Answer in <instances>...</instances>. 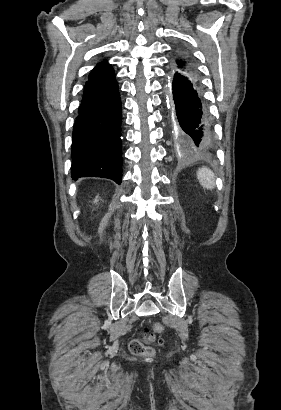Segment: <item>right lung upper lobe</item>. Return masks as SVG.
Listing matches in <instances>:
<instances>
[{"label":"right lung upper lobe","mask_w":281,"mask_h":410,"mask_svg":"<svg viewBox=\"0 0 281 410\" xmlns=\"http://www.w3.org/2000/svg\"><path fill=\"white\" fill-rule=\"evenodd\" d=\"M115 80L112 66L106 61L99 63L90 73L84 92L93 91L104 87Z\"/></svg>","instance_id":"cb5924a9"}]
</instances>
